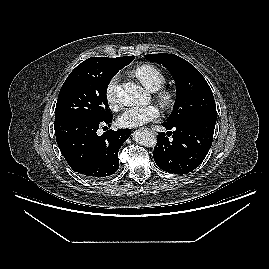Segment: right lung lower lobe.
<instances>
[{
    "label": "right lung lower lobe",
    "instance_id": "1",
    "mask_svg": "<svg viewBox=\"0 0 269 269\" xmlns=\"http://www.w3.org/2000/svg\"><path fill=\"white\" fill-rule=\"evenodd\" d=\"M111 121L112 117L104 121L87 116L55 118V135L62 155L73 171L89 180L103 179L119 168V148L131 130H109L97 135L99 126H110Z\"/></svg>",
    "mask_w": 269,
    "mask_h": 269
}]
</instances>
